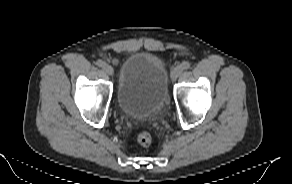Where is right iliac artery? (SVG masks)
Masks as SVG:
<instances>
[{
  "label": "right iliac artery",
  "mask_w": 292,
  "mask_h": 184,
  "mask_svg": "<svg viewBox=\"0 0 292 184\" xmlns=\"http://www.w3.org/2000/svg\"><path fill=\"white\" fill-rule=\"evenodd\" d=\"M96 65L99 67H103L105 65V63L102 60H97Z\"/></svg>",
  "instance_id": "1"
}]
</instances>
